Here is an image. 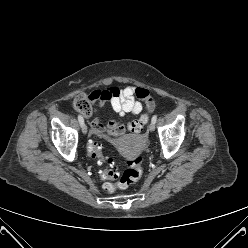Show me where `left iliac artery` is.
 I'll use <instances>...</instances> for the list:
<instances>
[{"instance_id": "1", "label": "left iliac artery", "mask_w": 248, "mask_h": 248, "mask_svg": "<svg viewBox=\"0 0 248 248\" xmlns=\"http://www.w3.org/2000/svg\"><path fill=\"white\" fill-rule=\"evenodd\" d=\"M156 121H157V115H154L151 119V122L156 123Z\"/></svg>"}]
</instances>
